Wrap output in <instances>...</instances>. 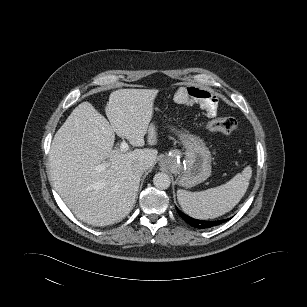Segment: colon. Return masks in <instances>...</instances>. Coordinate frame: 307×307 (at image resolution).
I'll return each mask as SVG.
<instances>
[{
    "label": "colon",
    "mask_w": 307,
    "mask_h": 307,
    "mask_svg": "<svg viewBox=\"0 0 307 307\" xmlns=\"http://www.w3.org/2000/svg\"><path fill=\"white\" fill-rule=\"evenodd\" d=\"M205 127L208 131L232 134L237 131L238 122L232 117L214 118L207 122Z\"/></svg>",
    "instance_id": "1"
}]
</instances>
